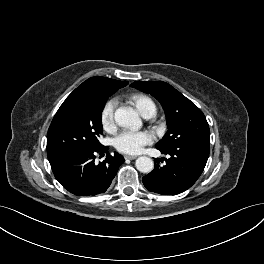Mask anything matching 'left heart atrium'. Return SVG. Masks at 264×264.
<instances>
[{"mask_svg": "<svg viewBox=\"0 0 264 264\" xmlns=\"http://www.w3.org/2000/svg\"><path fill=\"white\" fill-rule=\"evenodd\" d=\"M152 142V136L147 131H130L121 132L114 141L116 149L123 153L136 154L141 149Z\"/></svg>", "mask_w": 264, "mask_h": 264, "instance_id": "1", "label": "left heart atrium"}]
</instances>
